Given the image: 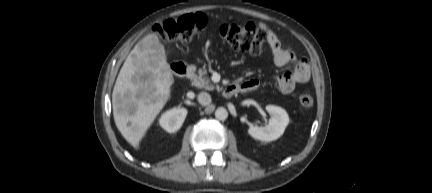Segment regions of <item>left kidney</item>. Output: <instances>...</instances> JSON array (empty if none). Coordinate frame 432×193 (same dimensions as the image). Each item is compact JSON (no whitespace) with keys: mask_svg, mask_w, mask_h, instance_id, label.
<instances>
[{"mask_svg":"<svg viewBox=\"0 0 432 193\" xmlns=\"http://www.w3.org/2000/svg\"><path fill=\"white\" fill-rule=\"evenodd\" d=\"M266 110L271 115L268 125L261 127L252 125L248 133L256 140L269 142L278 139L284 133L289 123V116L284 109L278 106L267 105Z\"/></svg>","mask_w":432,"mask_h":193,"instance_id":"obj_1","label":"left kidney"}]
</instances>
